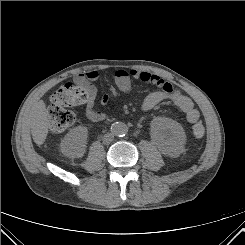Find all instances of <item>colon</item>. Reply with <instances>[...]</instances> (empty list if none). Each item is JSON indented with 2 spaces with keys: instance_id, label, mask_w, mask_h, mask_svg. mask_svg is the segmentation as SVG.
<instances>
[{
  "instance_id": "1",
  "label": "colon",
  "mask_w": 245,
  "mask_h": 245,
  "mask_svg": "<svg viewBox=\"0 0 245 245\" xmlns=\"http://www.w3.org/2000/svg\"><path fill=\"white\" fill-rule=\"evenodd\" d=\"M91 97L88 86L68 82L62 85L51 96L49 107V125L53 133H61L75 122V113L71 107L86 103ZM195 137H202L205 127L201 122H196L191 128Z\"/></svg>"
}]
</instances>
